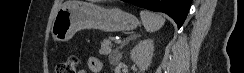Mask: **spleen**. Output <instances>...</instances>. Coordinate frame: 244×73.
I'll return each mask as SVG.
<instances>
[{
    "label": "spleen",
    "instance_id": "obj_1",
    "mask_svg": "<svg viewBox=\"0 0 244 73\" xmlns=\"http://www.w3.org/2000/svg\"><path fill=\"white\" fill-rule=\"evenodd\" d=\"M140 18L145 29L150 33L158 31L165 23V18L162 15L146 10L140 12Z\"/></svg>",
    "mask_w": 244,
    "mask_h": 73
}]
</instances>
